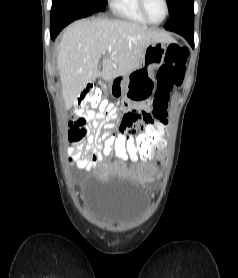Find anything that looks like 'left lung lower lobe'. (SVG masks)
<instances>
[{
	"instance_id": "0a47b994",
	"label": "left lung lower lobe",
	"mask_w": 238,
	"mask_h": 278,
	"mask_svg": "<svg viewBox=\"0 0 238 278\" xmlns=\"http://www.w3.org/2000/svg\"><path fill=\"white\" fill-rule=\"evenodd\" d=\"M194 0H187L175 11L165 25L167 30L182 35L191 46H194Z\"/></svg>"
}]
</instances>
